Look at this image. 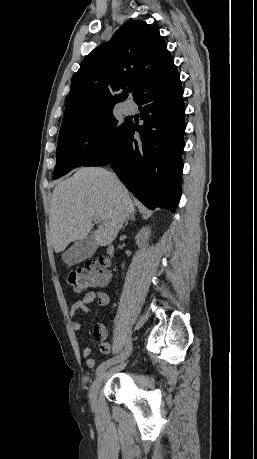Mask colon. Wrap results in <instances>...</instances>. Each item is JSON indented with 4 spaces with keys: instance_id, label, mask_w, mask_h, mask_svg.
<instances>
[{
    "instance_id": "colon-1",
    "label": "colon",
    "mask_w": 257,
    "mask_h": 459,
    "mask_svg": "<svg viewBox=\"0 0 257 459\" xmlns=\"http://www.w3.org/2000/svg\"><path fill=\"white\" fill-rule=\"evenodd\" d=\"M108 280L106 262L101 260L88 261L83 267L71 270L67 276L68 283L77 292L86 291L92 286L104 285Z\"/></svg>"
}]
</instances>
